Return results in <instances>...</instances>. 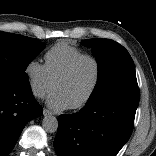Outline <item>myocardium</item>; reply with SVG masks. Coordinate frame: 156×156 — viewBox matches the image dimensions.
Here are the masks:
<instances>
[{"instance_id":"myocardium-1","label":"myocardium","mask_w":156,"mask_h":156,"mask_svg":"<svg viewBox=\"0 0 156 156\" xmlns=\"http://www.w3.org/2000/svg\"><path fill=\"white\" fill-rule=\"evenodd\" d=\"M83 60H91L95 64L96 76H95L94 83H93L91 89L89 90V92L87 93V95L81 101H79L78 103L72 105L70 107L71 109H81V108H83L84 106H86L92 100V98L96 94V92H97V90L99 88L100 82H101V77H102V65H101L100 60L94 55L82 54V55L76 57L68 65V67L64 70V72L54 82V89H55L56 86L60 82L68 79L73 74V72L75 71V69L77 68L79 63L81 61H83Z\"/></svg>"}]
</instances>
